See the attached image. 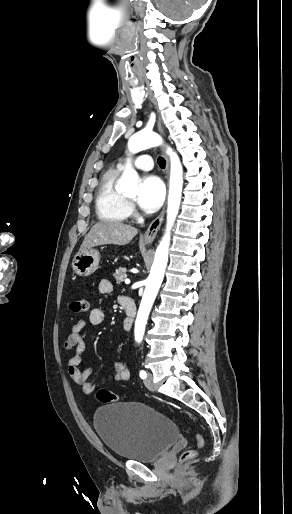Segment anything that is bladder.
<instances>
[{"instance_id": "1", "label": "bladder", "mask_w": 292, "mask_h": 514, "mask_svg": "<svg viewBox=\"0 0 292 514\" xmlns=\"http://www.w3.org/2000/svg\"><path fill=\"white\" fill-rule=\"evenodd\" d=\"M98 437L107 449L124 460L151 462L178 438L177 425L166 415L137 402L109 404L93 416Z\"/></svg>"}]
</instances>
